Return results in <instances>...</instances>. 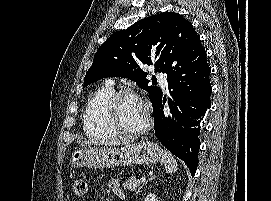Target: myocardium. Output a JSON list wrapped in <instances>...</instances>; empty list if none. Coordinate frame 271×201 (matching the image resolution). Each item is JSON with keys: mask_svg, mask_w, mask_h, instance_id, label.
Wrapping results in <instances>:
<instances>
[{"mask_svg": "<svg viewBox=\"0 0 271 201\" xmlns=\"http://www.w3.org/2000/svg\"><path fill=\"white\" fill-rule=\"evenodd\" d=\"M123 98H134V99L139 100L143 104L145 112H146V119H145L144 124L140 128L131 130V129H127L123 127L119 123L116 116V107H117L118 102ZM105 115L109 124L114 129V131L118 135H122V136L141 135L150 128L151 123H152L150 110L148 106L146 105V103L144 102V100L134 91L127 90V89L119 90L112 93V95L110 96V98L108 99L105 105Z\"/></svg>", "mask_w": 271, "mask_h": 201, "instance_id": "obj_1", "label": "myocardium"}]
</instances>
